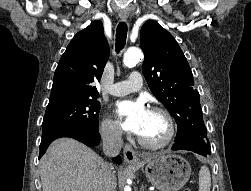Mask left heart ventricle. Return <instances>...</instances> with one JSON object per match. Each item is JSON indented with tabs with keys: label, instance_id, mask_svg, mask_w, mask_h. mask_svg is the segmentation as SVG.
I'll use <instances>...</instances> for the list:
<instances>
[{
	"label": "left heart ventricle",
	"instance_id": "obj_1",
	"mask_svg": "<svg viewBox=\"0 0 251 191\" xmlns=\"http://www.w3.org/2000/svg\"><path fill=\"white\" fill-rule=\"evenodd\" d=\"M139 135L151 143L163 141L167 135V124L163 116L150 112Z\"/></svg>",
	"mask_w": 251,
	"mask_h": 191
}]
</instances>
